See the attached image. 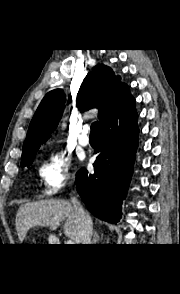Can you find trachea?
<instances>
[{
    "mask_svg": "<svg viewBox=\"0 0 180 294\" xmlns=\"http://www.w3.org/2000/svg\"><path fill=\"white\" fill-rule=\"evenodd\" d=\"M98 134V122H93L91 125V133L90 136H97Z\"/></svg>",
    "mask_w": 180,
    "mask_h": 294,
    "instance_id": "1",
    "label": "trachea"
}]
</instances>
